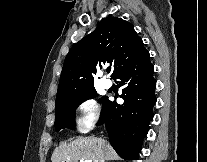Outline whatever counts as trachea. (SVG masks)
I'll use <instances>...</instances> for the list:
<instances>
[{
    "label": "trachea",
    "instance_id": "obj_1",
    "mask_svg": "<svg viewBox=\"0 0 207 162\" xmlns=\"http://www.w3.org/2000/svg\"><path fill=\"white\" fill-rule=\"evenodd\" d=\"M111 69H107V72L109 73Z\"/></svg>",
    "mask_w": 207,
    "mask_h": 162
}]
</instances>
